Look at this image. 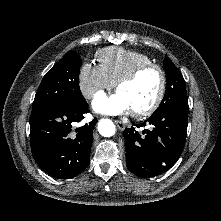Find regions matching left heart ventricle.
<instances>
[{
  "mask_svg": "<svg viewBox=\"0 0 221 221\" xmlns=\"http://www.w3.org/2000/svg\"><path fill=\"white\" fill-rule=\"evenodd\" d=\"M160 75L156 70L142 73L134 81L119 88L132 111L147 108L153 103L160 89Z\"/></svg>",
  "mask_w": 221,
  "mask_h": 221,
  "instance_id": "left-heart-ventricle-1",
  "label": "left heart ventricle"
}]
</instances>
